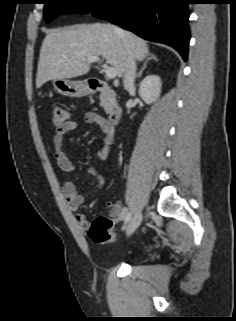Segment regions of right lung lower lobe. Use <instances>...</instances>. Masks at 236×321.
Here are the masks:
<instances>
[{"instance_id":"right-lung-lower-lobe-1","label":"right lung lower lobe","mask_w":236,"mask_h":321,"mask_svg":"<svg viewBox=\"0 0 236 321\" xmlns=\"http://www.w3.org/2000/svg\"><path fill=\"white\" fill-rule=\"evenodd\" d=\"M189 0H110L93 12L138 36L167 44L187 60Z\"/></svg>"}]
</instances>
